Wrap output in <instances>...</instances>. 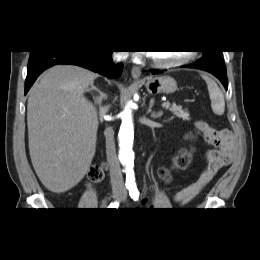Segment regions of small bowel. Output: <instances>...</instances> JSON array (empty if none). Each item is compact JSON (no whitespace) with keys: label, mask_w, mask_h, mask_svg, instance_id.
Listing matches in <instances>:
<instances>
[{"label":"small bowel","mask_w":260,"mask_h":260,"mask_svg":"<svg viewBox=\"0 0 260 260\" xmlns=\"http://www.w3.org/2000/svg\"><path fill=\"white\" fill-rule=\"evenodd\" d=\"M196 127L215 148L203 154L205 164L199 179L175 194L173 201L181 206L193 200L222 167L231 163L236 153V141L229 129H215L203 121H197Z\"/></svg>","instance_id":"obj_1"}]
</instances>
